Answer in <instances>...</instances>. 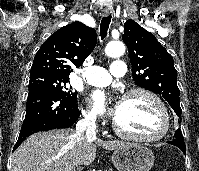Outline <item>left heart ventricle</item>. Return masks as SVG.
<instances>
[{
	"mask_svg": "<svg viewBox=\"0 0 199 171\" xmlns=\"http://www.w3.org/2000/svg\"><path fill=\"white\" fill-rule=\"evenodd\" d=\"M115 120L127 132L149 136L156 135L163 124L157 106L143 94L122 99Z\"/></svg>",
	"mask_w": 199,
	"mask_h": 171,
	"instance_id": "1",
	"label": "left heart ventricle"
}]
</instances>
